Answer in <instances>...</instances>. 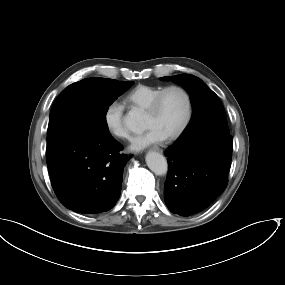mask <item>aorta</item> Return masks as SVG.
<instances>
[{
  "label": "aorta",
  "mask_w": 285,
  "mask_h": 285,
  "mask_svg": "<svg viewBox=\"0 0 285 285\" xmlns=\"http://www.w3.org/2000/svg\"><path fill=\"white\" fill-rule=\"evenodd\" d=\"M142 123V115L135 110L129 111L124 117V124L130 130H135ZM146 164L156 175H165L168 171L166 158L157 152H149L146 155Z\"/></svg>",
  "instance_id": "obj_1"
}]
</instances>
